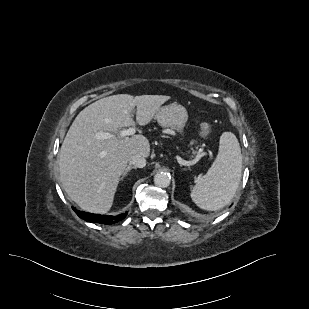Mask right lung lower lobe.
Instances as JSON below:
<instances>
[{
  "instance_id": "right-lung-lower-lobe-1",
  "label": "right lung lower lobe",
  "mask_w": 309,
  "mask_h": 309,
  "mask_svg": "<svg viewBox=\"0 0 309 309\" xmlns=\"http://www.w3.org/2000/svg\"><path fill=\"white\" fill-rule=\"evenodd\" d=\"M75 212L77 213V215L81 219H83L87 222L101 223V224H107V225L114 224V223L124 219L127 216V212L124 213V214H120L118 216H106V215H99V214H91V213H87V212H83V211H79V210H75Z\"/></svg>"
}]
</instances>
